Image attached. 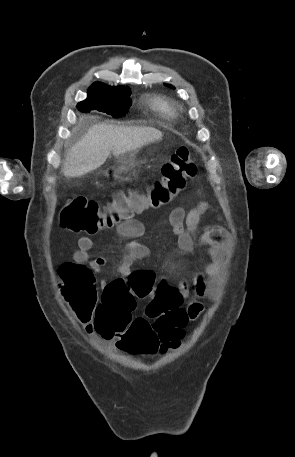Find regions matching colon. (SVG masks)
<instances>
[{"instance_id":"obj_1","label":"colon","mask_w":295,"mask_h":457,"mask_svg":"<svg viewBox=\"0 0 295 457\" xmlns=\"http://www.w3.org/2000/svg\"><path fill=\"white\" fill-rule=\"evenodd\" d=\"M196 173L197 165L190 149L181 146L163 164L160 176L144 193L118 190L106 204L82 196L72 197L61 210L60 222L74 233L95 234L112 228L146 209L168 204L186 189ZM60 278L61 293L77 317L92 321L102 338L116 339L125 358L180 349L188 317L181 303L174 299L167 279L156 277L149 270H136L125 281L118 279L108 284L99 301L94 276L85 265L63 264ZM149 294L155 300L146 308V317L133 319L134 295Z\"/></svg>"}]
</instances>
